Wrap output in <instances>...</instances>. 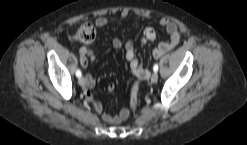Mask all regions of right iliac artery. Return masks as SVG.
<instances>
[{
    "label": "right iliac artery",
    "mask_w": 247,
    "mask_h": 145,
    "mask_svg": "<svg viewBox=\"0 0 247 145\" xmlns=\"http://www.w3.org/2000/svg\"><path fill=\"white\" fill-rule=\"evenodd\" d=\"M81 75H82V73H81V71L78 69V70L76 71V76H77L78 78H80Z\"/></svg>",
    "instance_id": "right-iliac-artery-1"
}]
</instances>
